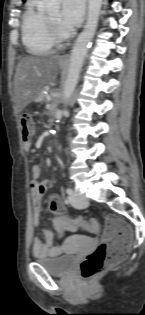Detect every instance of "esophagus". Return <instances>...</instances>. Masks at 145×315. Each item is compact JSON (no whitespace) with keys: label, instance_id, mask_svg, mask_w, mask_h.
Instances as JSON below:
<instances>
[{"label":"esophagus","instance_id":"34e87169","mask_svg":"<svg viewBox=\"0 0 145 315\" xmlns=\"http://www.w3.org/2000/svg\"><path fill=\"white\" fill-rule=\"evenodd\" d=\"M68 60H69V53H67V54H65V55H63V56L61 57V61H62V62H68Z\"/></svg>","mask_w":145,"mask_h":315}]
</instances>
